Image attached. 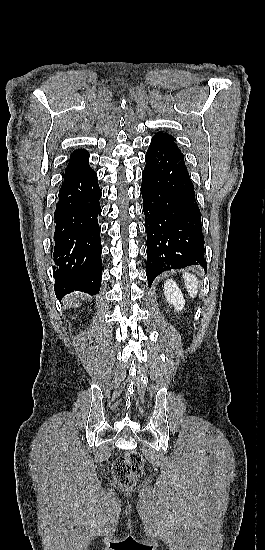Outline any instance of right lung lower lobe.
Returning <instances> with one entry per match:
<instances>
[{
	"label": "right lung lower lobe",
	"mask_w": 265,
	"mask_h": 550,
	"mask_svg": "<svg viewBox=\"0 0 265 550\" xmlns=\"http://www.w3.org/2000/svg\"><path fill=\"white\" fill-rule=\"evenodd\" d=\"M97 174L89 166L86 150L74 151L64 173L56 204L53 275L55 293L62 298L74 290L94 295L102 278L101 240L97 217L101 214Z\"/></svg>",
	"instance_id": "1"
}]
</instances>
